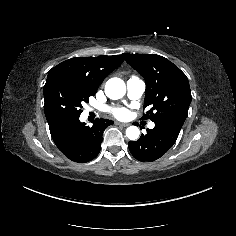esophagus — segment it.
<instances>
[{"mask_svg":"<svg viewBox=\"0 0 236 236\" xmlns=\"http://www.w3.org/2000/svg\"><path fill=\"white\" fill-rule=\"evenodd\" d=\"M115 124L123 127H127L130 125L129 123H121V122H115Z\"/></svg>","mask_w":236,"mask_h":236,"instance_id":"esophagus-1","label":"esophagus"}]
</instances>
